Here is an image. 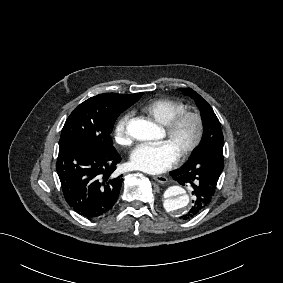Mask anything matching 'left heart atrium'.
Returning <instances> with one entry per match:
<instances>
[{
  "mask_svg": "<svg viewBox=\"0 0 283 283\" xmlns=\"http://www.w3.org/2000/svg\"><path fill=\"white\" fill-rule=\"evenodd\" d=\"M179 156L169 141L142 143L131 151L129 164L135 170L154 175L170 169Z\"/></svg>",
  "mask_w": 283,
  "mask_h": 283,
  "instance_id": "1",
  "label": "left heart atrium"
}]
</instances>
